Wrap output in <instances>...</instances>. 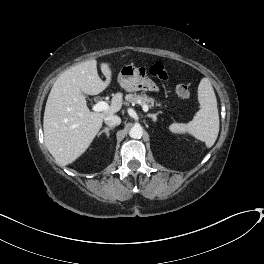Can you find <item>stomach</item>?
<instances>
[{
  "label": "stomach",
  "mask_w": 264,
  "mask_h": 264,
  "mask_svg": "<svg viewBox=\"0 0 264 264\" xmlns=\"http://www.w3.org/2000/svg\"><path fill=\"white\" fill-rule=\"evenodd\" d=\"M142 79L139 68L132 64L122 66L117 78L120 86L128 92L137 91Z\"/></svg>",
  "instance_id": "stomach-1"
}]
</instances>
